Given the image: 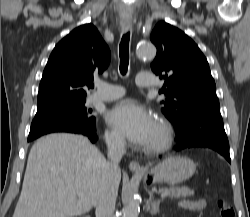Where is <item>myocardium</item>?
Segmentation results:
<instances>
[{"label":"myocardium","instance_id":"f54148a6","mask_svg":"<svg viewBox=\"0 0 250 217\" xmlns=\"http://www.w3.org/2000/svg\"><path fill=\"white\" fill-rule=\"evenodd\" d=\"M156 124L160 131V137L156 143L145 147L150 154H158L168 149L173 140V129L171 124L164 118L159 117Z\"/></svg>","mask_w":250,"mask_h":217}]
</instances>
